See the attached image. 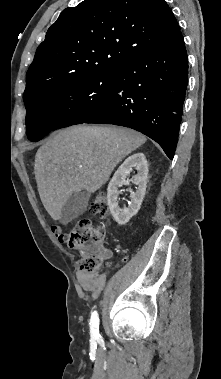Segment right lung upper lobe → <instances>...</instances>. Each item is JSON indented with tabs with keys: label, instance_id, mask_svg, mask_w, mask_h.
Listing matches in <instances>:
<instances>
[{
	"label": "right lung upper lobe",
	"instance_id": "1",
	"mask_svg": "<svg viewBox=\"0 0 221 379\" xmlns=\"http://www.w3.org/2000/svg\"><path fill=\"white\" fill-rule=\"evenodd\" d=\"M179 31L165 0H84L66 8L37 48L24 103L74 78L118 69Z\"/></svg>",
	"mask_w": 221,
	"mask_h": 379
}]
</instances>
